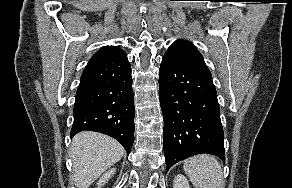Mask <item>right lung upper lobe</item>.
Returning a JSON list of instances; mask_svg holds the SVG:
<instances>
[{"label":"right lung upper lobe","mask_w":292,"mask_h":188,"mask_svg":"<svg viewBox=\"0 0 292 188\" xmlns=\"http://www.w3.org/2000/svg\"><path fill=\"white\" fill-rule=\"evenodd\" d=\"M125 53L122 49L116 46H104L97 51L91 59H106L114 56H118Z\"/></svg>","instance_id":"obj_1"}]
</instances>
